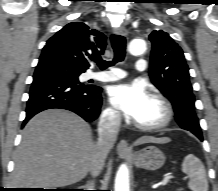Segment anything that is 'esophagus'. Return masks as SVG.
I'll return each instance as SVG.
<instances>
[{
  "label": "esophagus",
  "mask_w": 218,
  "mask_h": 191,
  "mask_svg": "<svg viewBox=\"0 0 218 191\" xmlns=\"http://www.w3.org/2000/svg\"><path fill=\"white\" fill-rule=\"evenodd\" d=\"M115 32L119 35L127 36L128 31L124 26H120L118 28H115ZM117 153L120 156H126L131 153V149L129 147V144L126 140H121L117 145Z\"/></svg>",
  "instance_id": "1"
}]
</instances>
